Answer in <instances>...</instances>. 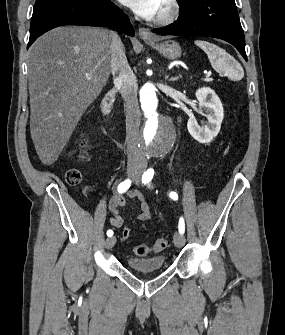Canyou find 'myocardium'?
<instances>
[{
    "label": "myocardium",
    "instance_id": "myocardium-1",
    "mask_svg": "<svg viewBox=\"0 0 285 335\" xmlns=\"http://www.w3.org/2000/svg\"><path fill=\"white\" fill-rule=\"evenodd\" d=\"M180 13L178 1H163L157 17L159 24H166L175 20Z\"/></svg>",
    "mask_w": 285,
    "mask_h": 335
}]
</instances>
